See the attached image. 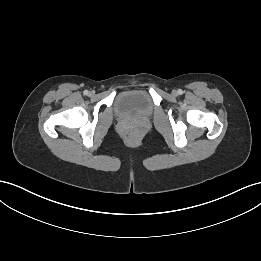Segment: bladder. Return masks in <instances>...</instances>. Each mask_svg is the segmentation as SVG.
I'll return each instance as SVG.
<instances>
[{
  "instance_id": "obj_1",
  "label": "bladder",
  "mask_w": 261,
  "mask_h": 261,
  "mask_svg": "<svg viewBox=\"0 0 261 261\" xmlns=\"http://www.w3.org/2000/svg\"><path fill=\"white\" fill-rule=\"evenodd\" d=\"M114 108L116 115L120 118L144 120L152 115L154 104L147 91L133 89L119 93L115 99Z\"/></svg>"
}]
</instances>
